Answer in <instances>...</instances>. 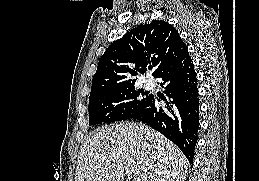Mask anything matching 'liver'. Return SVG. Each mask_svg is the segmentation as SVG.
<instances>
[{
	"label": "liver",
	"instance_id": "6515ba94",
	"mask_svg": "<svg viewBox=\"0 0 259 181\" xmlns=\"http://www.w3.org/2000/svg\"><path fill=\"white\" fill-rule=\"evenodd\" d=\"M189 162L180 149L143 123L121 122L100 128L81 146L75 181H184Z\"/></svg>",
	"mask_w": 259,
	"mask_h": 181
}]
</instances>
